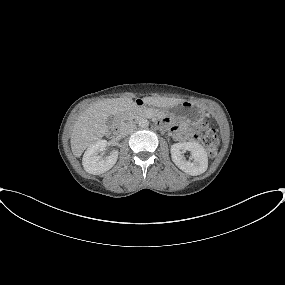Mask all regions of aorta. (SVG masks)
I'll return each mask as SVG.
<instances>
[{
  "mask_svg": "<svg viewBox=\"0 0 285 285\" xmlns=\"http://www.w3.org/2000/svg\"><path fill=\"white\" fill-rule=\"evenodd\" d=\"M138 125L141 127V128H147L149 126V121L145 118H141L139 121H138Z\"/></svg>",
  "mask_w": 285,
  "mask_h": 285,
  "instance_id": "obj_1",
  "label": "aorta"
}]
</instances>
